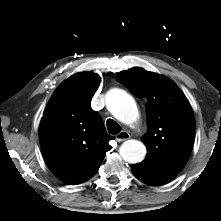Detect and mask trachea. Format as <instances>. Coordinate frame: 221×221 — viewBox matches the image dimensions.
Returning a JSON list of instances; mask_svg holds the SVG:
<instances>
[{
    "instance_id": "trachea-1",
    "label": "trachea",
    "mask_w": 221,
    "mask_h": 221,
    "mask_svg": "<svg viewBox=\"0 0 221 221\" xmlns=\"http://www.w3.org/2000/svg\"><path fill=\"white\" fill-rule=\"evenodd\" d=\"M107 129L110 134H118L121 131V126L115 122L113 119H108L106 121Z\"/></svg>"
}]
</instances>
